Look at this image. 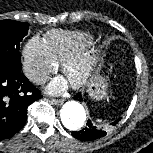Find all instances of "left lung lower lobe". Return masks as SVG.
<instances>
[{
    "instance_id": "1",
    "label": "left lung lower lobe",
    "mask_w": 153,
    "mask_h": 153,
    "mask_svg": "<svg viewBox=\"0 0 153 153\" xmlns=\"http://www.w3.org/2000/svg\"><path fill=\"white\" fill-rule=\"evenodd\" d=\"M74 99L82 101V96L80 93L75 95ZM120 119L116 120L112 123V125H116ZM87 127L83 128L81 131L72 132L73 137L81 141H93L99 139L106 135V132L98 129L94 124L91 123L90 120L87 122Z\"/></svg>"
}]
</instances>
